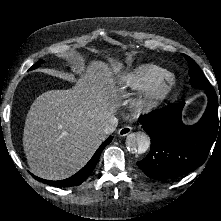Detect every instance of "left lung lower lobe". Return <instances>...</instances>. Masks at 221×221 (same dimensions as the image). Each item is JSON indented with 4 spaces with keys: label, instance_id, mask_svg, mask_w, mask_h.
<instances>
[{
    "label": "left lung lower lobe",
    "instance_id": "left-lung-lower-lobe-1",
    "mask_svg": "<svg viewBox=\"0 0 221 221\" xmlns=\"http://www.w3.org/2000/svg\"><path fill=\"white\" fill-rule=\"evenodd\" d=\"M208 105L200 121L185 126L181 120L184 103L168 105L139 118L151 138L148 155L137 162L139 168L154 179H171L201 166L217 140L221 139L220 99L213 88L206 89Z\"/></svg>",
    "mask_w": 221,
    "mask_h": 221
}]
</instances>
